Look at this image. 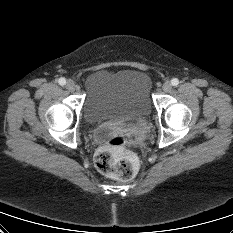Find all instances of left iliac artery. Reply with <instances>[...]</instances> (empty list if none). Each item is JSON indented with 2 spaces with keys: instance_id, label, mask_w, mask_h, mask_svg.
I'll list each match as a JSON object with an SVG mask.
<instances>
[{
  "instance_id": "1",
  "label": "left iliac artery",
  "mask_w": 233,
  "mask_h": 233,
  "mask_svg": "<svg viewBox=\"0 0 233 233\" xmlns=\"http://www.w3.org/2000/svg\"><path fill=\"white\" fill-rule=\"evenodd\" d=\"M171 84H172L173 86H178L179 80H178L177 78H173V79L171 80Z\"/></svg>"
}]
</instances>
